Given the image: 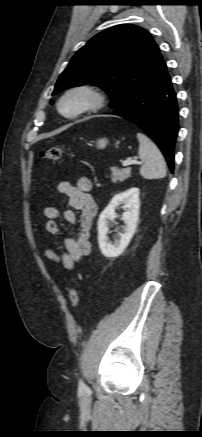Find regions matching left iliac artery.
<instances>
[{
	"label": "left iliac artery",
	"mask_w": 202,
	"mask_h": 437,
	"mask_svg": "<svg viewBox=\"0 0 202 437\" xmlns=\"http://www.w3.org/2000/svg\"><path fill=\"white\" fill-rule=\"evenodd\" d=\"M85 387H86V386H85L84 382L80 379V380H79V388H80V389H85Z\"/></svg>",
	"instance_id": "left-iliac-artery-1"
}]
</instances>
